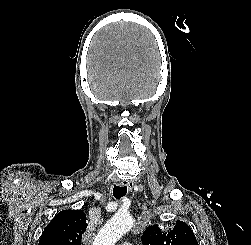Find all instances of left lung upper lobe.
<instances>
[{"mask_svg": "<svg viewBox=\"0 0 251 245\" xmlns=\"http://www.w3.org/2000/svg\"><path fill=\"white\" fill-rule=\"evenodd\" d=\"M141 240L143 245H198L192 229L182 221H178L168 233L158 225L149 226Z\"/></svg>", "mask_w": 251, "mask_h": 245, "instance_id": "5c2ea615", "label": "left lung upper lobe"}]
</instances>
